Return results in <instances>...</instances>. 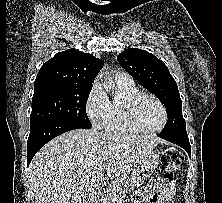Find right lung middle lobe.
I'll return each mask as SVG.
<instances>
[{"label": "right lung middle lobe", "mask_w": 222, "mask_h": 203, "mask_svg": "<svg viewBox=\"0 0 222 203\" xmlns=\"http://www.w3.org/2000/svg\"><path fill=\"white\" fill-rule=\"evenodd\" d=\"M91 89L92 87L53 86L34 91L30 125L47 120L91 125L85 108Z\"/></svg>", "instance_id": "obj_1"}]
</instances>
